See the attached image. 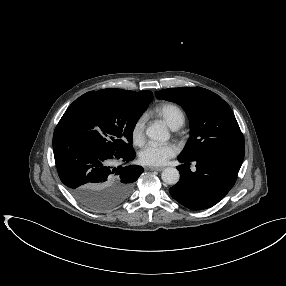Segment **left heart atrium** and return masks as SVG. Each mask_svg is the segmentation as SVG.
I'll return each mask as SVG.
<instances>
[{"label":"left heart atrium","instance_id":"1","mask_svg":"<svg viewBox=\"0 0 286 286\" xmlns=\"http://www.w3.org/2000/svg\"><path fill=\"white\" fill-rule=\"evenodd\" d=\"M178 152L176 145L172 143L149 142L139 153V160L148 166H162Z\"/></svg>","mask_w":286,"mask_h":286}]
</instances>
